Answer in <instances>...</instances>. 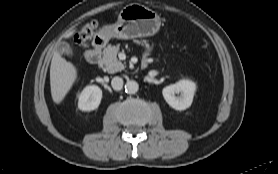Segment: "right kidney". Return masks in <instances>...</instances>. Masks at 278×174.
I'll use <instances>...</instances> for the list:
<instances>
[{
  "instance_id": "obj_1",
  "label": "right kidney",
  "mask_w": 278,
  "mask_h": 174,
  "mask_svg": "<svg viewBox=\"0 0 278 174\" xmlns=\"http://www.w3.org/2000/svg\"><path fill=\"white\" fill-rule=\"evenodd\" d=\"M102 99V90L91 85L83 89L78 96V108L82 111H92L98 108Z\"/></svg>"
}]
</instances>
